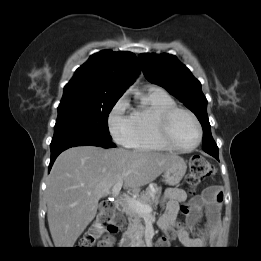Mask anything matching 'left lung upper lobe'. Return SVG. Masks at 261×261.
Listing matches in <instances>:
<instances>
[{"instance_id":"1","label":"left lung upper lobe","mask_w":261,"mask_h":261,"mask_svg":"<svg viewBox=\"0 0 261 261\" xmlns=\"http://www.w3.org/2000/svg\"><path fill=\"white\" fill-rule=\"evenodd\" d=\"M138 58L147 80L165 88L197 116L203 127L202 149L218 152V147L211 135L207 99L201 90V83L190 70L171 54L144 53Z\"/></svg>"}]
</instances>
